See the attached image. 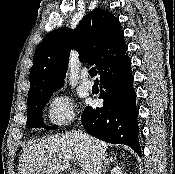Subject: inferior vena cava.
<instances>
[{
    "mask_svg": "<svg viewBox=\"0 0 175 174\" xmlns=\"http://www.w3.org/2000/svg\"><path fill=\"white\" fill-rule=\"evenodd\" d=\"M78 134L88 143L89 141V136L82 131H78ZM92 150V157H91V168L88 172V174H101L102 170V159L103 156L94 148H91Z\"/></svg>",
    "mask_w": 175,
    "mask_h": 174,
    "instance_id": "1",
    "label": "inferior vena cava"
}]
</instances>
